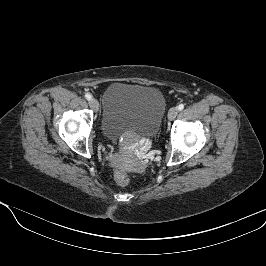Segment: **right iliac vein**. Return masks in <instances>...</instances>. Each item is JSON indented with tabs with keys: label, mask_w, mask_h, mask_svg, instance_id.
Masks as SVG:
<instances>
[{
	"label": "right iliac vein",
	"mask_w": 266,
	"mask_h": 266,
	"mask_svg": "<svg viewBox=\"0 0 266 266\" xmlns=\"http://www.w3.org/2000/svg\"><path fill=\"white\" fill-rule=\"evenodd\" d=\"M89 105L90 107L95 111L97 112L98 109H99V103L96 99L92 98L90 101H89Z\"/></svg>",
	"instance_id": "right-iliac-vein-1"
}]
</instances>
